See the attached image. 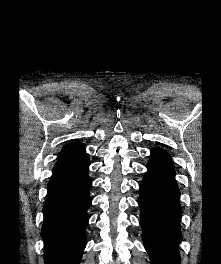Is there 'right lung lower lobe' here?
Instances as JSON below:
<instances>
[{
	"label": "right lung lower lobe",
	"instance_id": "98d812e1",
	"mask_svg": "<svg viewBox=\"0 0 221 264\" xmlns=\"http://www.w3.org/2000/svg\"><path fill=\"white\" fill-rule=\"evenodd\" d=\"M89 158L84 153L57 161L47 187L41 230L45 264H79L86 246L91 204Z\"/></svg>",
	"mask_w": 221,
	"mask_h": 264
}]
</instances>
